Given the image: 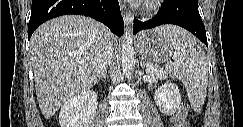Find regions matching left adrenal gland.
Instances as JSON below:
<instances>
[{
  "label": "left adrenal gland",
  "mask_w": 243,
  "mask_h": 127,
  "mask_svg": "<svg viewBox=\"0 0 243 127\" xmlns=\"http://www.w3.org/2000/svg\"><path fill=\"white\" fill-rule=\"evenodd\" d=\"M140 66H141L142 68H145V67H144V63H143V61H140Z\"/></svg>",
  "instance_id": "obj_1"
}]
</instances>
